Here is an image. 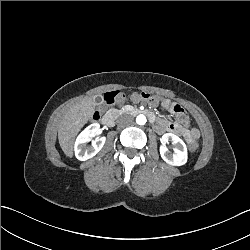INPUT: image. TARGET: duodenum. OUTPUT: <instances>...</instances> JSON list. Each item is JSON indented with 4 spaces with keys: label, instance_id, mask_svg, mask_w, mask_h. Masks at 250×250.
I'll list each match as a JSON object with an SVG mask.
<instances>
[{
    "label": "duodenum",
    "instance_id": "obj_1",
    "mask_svg": "<svg viewBox=\"0 0 250 250\" xmlns=\"http://www.w3.org/2000/svg\"><path fill=\"white\" fill-rule=\"evenodd\" d=\"M142 113L139 110H133V114L137 115ZM102 123L106 126V127H112L114 124V114L112 111L107 112L103 119H102Z\"/></svg>",
    "mask_w": 250,
    "mask_h": 250
}]
</instances>
